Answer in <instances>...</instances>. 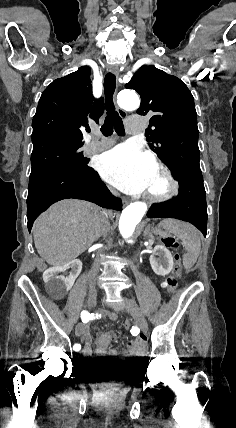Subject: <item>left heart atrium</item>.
<instances>
[{"label":"left heart atrium","instance_id":"39dd6f15","mask_svg":"<svg viewBox=\"0 0 236 428\" xmlns=\"http://www.w3.org/2000/svg\"><path fill=\"white\" fill-rule=\"evenodd\" d=\"M155 165L143 151L122 144L102 157L99 171L103 179L119 190L141 194L149 185Z\"/></svg>","mask_w":236,"mask_h":428}]
</instances>
